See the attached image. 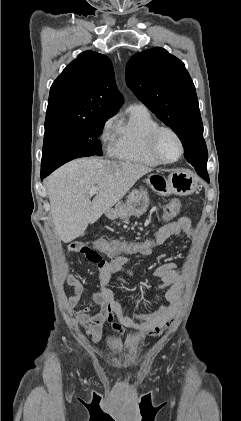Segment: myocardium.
I'll return each mask as SVG.
<instances>
[{"label":"myocardium","instance_id":"1","mask_svg":"<svg viewBox=\"0 0 241 421\" xmlns=\"http://www.w3.org/2000/svg\"><path fill=\"white\" fill-rule=\"evenodd\" d=\"M164 132L171 133L176 138V140L178 141L179 146H180L179 155L175 159H173V160H165L160 155L159 150H158V140H159L160 135L162 133H164ZM148 146H149V150H150L151 154L161 164H173V163H176L177 161H179L182 158V156L184 154V151H185V146H184L183 140H182L181 136L179 135V133L175 129H173L171 127H168V126H158L157 128H155L151 132V134L149 136Z\"/></svg>","mask_w":241,"mask_h":421}]
</instances>
